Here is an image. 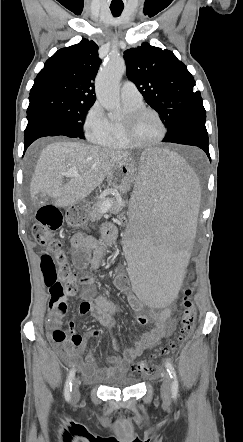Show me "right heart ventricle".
Instances as JSON below:
<instances>
[{"label":"right heart ventricle","instance_id":"obj_1","mask_svg":"<svg viewBox=\"0 0 243 442\" xmlns=\"http://www.w3.org/2000/svg\"><path fill=\"white\" fill-rule=\"evenodd\" d=\"M125 112L128 113L134 109H137L142 106V103L132 104L128 102H124ZM122 119H109L108 120V128L107 131L99 137L95 143L107 148L113 149H128L129 146L126 144L123 135H122Z\"/></svg>","mask_w":243,"mask_h":442}]
</instances>
